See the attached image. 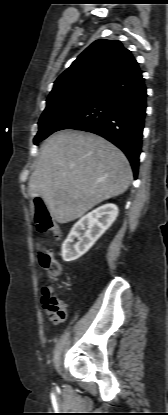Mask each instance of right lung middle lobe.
<instances>
[{"mask_svg": "<svg viewBox=\"0 0 168 415\" xmlns=\"http://www.w3.org/2000/svg\"><path fill=\"white\" fill-rule=\"evenodd\" d=\"M101 90H79L47 101L38 122L39 131L34 138L38 143L57 131L65 122L101 95Z\"/></svg>", "mask_w": 168, "mask_h": 415, "instance_id": "1", "label": "right lung middle lobe"}]
</instances>
